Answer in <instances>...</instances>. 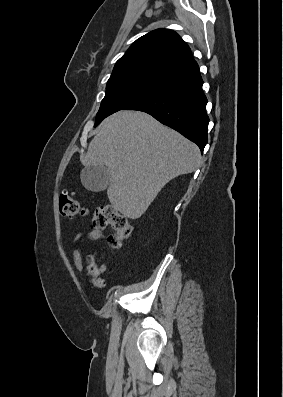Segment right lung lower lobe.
Wrapping results in <instances>:
<instances>
[{
  "mask_svg": "<svg viewBox=\"0 0 283 397\" xmlns=\"http://www.w3.org/2000/svg\"><path fill=\"white\" fill-rule=\"evenodd\" d=\"M200 72L171 81L123 110L143 111L196 143L201 152L207 144L209 117Z\"/></svg>",
  "mask_w": 283,
  "mask_h": 397,
  "instance_id": "right-lung-lower-lobe-1",
  "label": "right lung lower lobe"
}]
</instances>
